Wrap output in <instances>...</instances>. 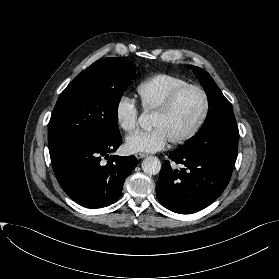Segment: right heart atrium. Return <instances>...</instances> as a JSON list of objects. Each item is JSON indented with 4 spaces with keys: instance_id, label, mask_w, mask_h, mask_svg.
Segmentation results:
<instances>
[{
    "instance_id": "d8ad5b80",
    "label": "right heart atrium",
    "mask_w": 279,
    "mask_h": 279,
    "mask_svg": "<svg viewBox=\"0 0 279 279\" xmlns=\"http://www.w3.org/2000/svg\"><path fill=\"white\" fill-rule=\"evenodd\" d=\"M139 109L128 96H121L115 106V120L125 133L133 132L138 125Z\"/></svg>"
}]
</instances>
